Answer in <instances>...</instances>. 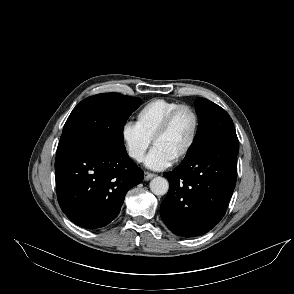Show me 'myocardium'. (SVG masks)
I'll return each mask as SVG.
<instances>
[{
    "label": "myocardium",
    "mask_w": 294,
    "mask_h": 294,
    "mask_svg": "<svg viewBox=\"0 0 294 294\" xmlns=\"http://www.w3.org/2000/svg\"><path fill=\"white\" fill-rule=\"evenodd\" d=\"M183 110L189 111L191 113V115L193 116L194 128H193L192 136H191L187 146L175 158V162H180V161L184 160L190 154V152L192 151V149L194 148V146L197 142L199 132H200V117H199V114L196 111V109L190 104L178 105L177 107H175L173 110H171L167 114V116L164 118V120L162 121V123L160 124V126L158 127V129L156 130V132L154 133L153 138H152V142L155 145L156 141L169 130V128L171 127L176 116Z\"/></svg>",
    "instance_id": "1"
}]
</instances>
